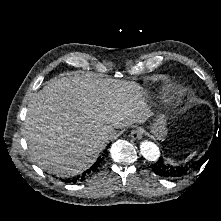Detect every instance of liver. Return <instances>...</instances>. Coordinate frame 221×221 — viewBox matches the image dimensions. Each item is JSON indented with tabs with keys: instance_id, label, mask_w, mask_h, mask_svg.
Here are the masks:
<instances>
[{
	"instance_id": "obj_1",
	"label": "liver",
	"mask_w": 221,
	"mask_h": 221,
	"mask_svg": "<svg viewBox=\"0 0 221 221\" xmlns=\"http://www.w3.org/2000/svg\"><path fill=\"white\" fill-rule=\"evenodd\" d=\"M144 96L135 82L94 73L50 81L33 95L24 123L33 161L60 177L83 172L106 146V130L151 116Z\"/></svg>"
}]
</instances>
